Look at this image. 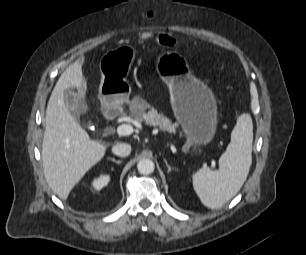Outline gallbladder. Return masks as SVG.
Wrapping results in <instances>:
<instances>
[{"mask_svg": "<svg viewBox=\"0 0 306 255\" xmlns=\"http://www.w3.org/2000/svg\"><path fill=\"white\" fill-rule=\"evenodd\" d=\"M64 99L68 110L76 120H79L80 112L85 111L86 106L79 100L78 95L71 90L65 92Z\"/></svg>", "mask_w": 306, "mask_h": 255, "instance_id": "obj_1", "label": "gallbladder"}]
</instances>
